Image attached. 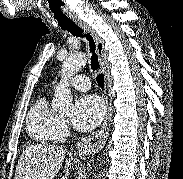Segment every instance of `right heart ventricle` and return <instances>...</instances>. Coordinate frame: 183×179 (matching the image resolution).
<instances>
[{
    "label": "right heart ventricle",
    "instance_id": "right-heart-ventricle-1",
    "mask_svg": "<svg viewBox=\"0 0 183 179\" xmlns=\"http://www.w3.org/2000/svg\"><path fill=\"white\" fill-rule=\"evenodd\" d=\"M57 117V113L48 105L46 96L39 97L28 114L27 130L29 134L39 142L52 141Z\"/></svg>",
    "mask_w": 183,
    "mask_h": 179
}]
</instances>
